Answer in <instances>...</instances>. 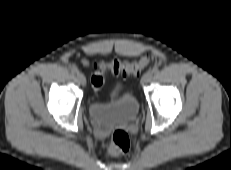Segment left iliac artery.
<instances>
[{
  "instance_id": "1",
  "label": "left iliac artery",
  "mask_w": 231,
  "mask_h": 170,
  "mask_svg": "<svg viewBox=\"0 0 231 170\" xmlns=\"http://www.w3.org/2000/svg\"><path fill=\"white\" fill-rule=\"evenodd\" d=\"M158 71H159V69H158L157 66L153 67L152 72H153L154 74L158 73Z\"/></svg>"
}]
</instances>
